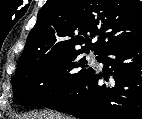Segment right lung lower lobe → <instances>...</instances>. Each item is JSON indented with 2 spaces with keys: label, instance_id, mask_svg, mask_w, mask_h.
<instances>
[{
  "label": "right lung lower lobe",
  "instance_id": "obj_1",
  "mask_svg": "<svg viewBox=\"0 0 142 119\" xmlns=\"http://www.w3.org/2000/svg\"><path fill=\"white\" fill-rule=\"evenodd\" d=\"M97 60L104 64L103 72L93 70L49 108L79 119H142V39L112 47Z\"/></svg>",
  "mask_w": 142,
  "mask_h": 119
}]
</instances>
